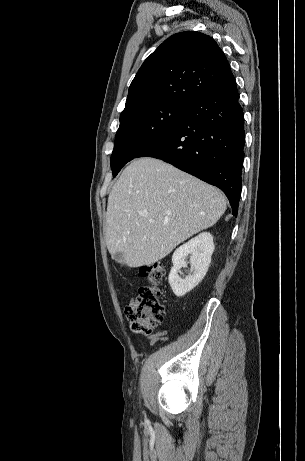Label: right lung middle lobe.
I'll use <instances>...</instances> for the list:
<instances>
[{"mask_svg":"<svg viewBox=\"0 0 305 461\" xmlns=\"http://www.w3.org/2000/svg\"><path fill=\"white\" fill-rule=\"evenodd\" d=\"M188 108L189 104L164 102L121 117L110 161L113 176L127 162L168 134L183 119Z\"/></svg>","mask_w":305,"mask_h":461,"instance_id":"1","label":"right lung middle lobe"}]
</instances>
